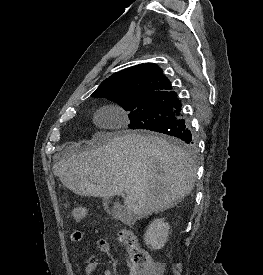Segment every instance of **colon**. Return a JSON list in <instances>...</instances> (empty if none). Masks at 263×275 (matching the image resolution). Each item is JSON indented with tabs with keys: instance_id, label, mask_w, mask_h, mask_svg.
<instances>
[{
	"instance_id": "obj_1",
	"label": "colon",
	"mask_w": 263,
	"mask_h": 275,
	"mask_svg": "<svg viewBox=\"0 0 263 275\" xmlns=\"http://www.w3.org/2000/svg\"><path fill=\"white\" fill-rule=\"evenodd\" d=\"M72 218L75 221H81L86 216V210L83 207H75L72 210ZM118 240L129 252L130 263L135 266L142 275H158L160 266L158 263L150 260L148 254L138 246L133 232L129 229H121L118 232Z\"/></svg>"
}]
</instances>
